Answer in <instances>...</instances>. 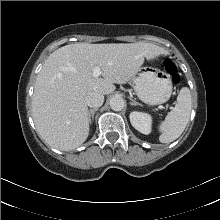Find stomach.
<instances>
[{
	"instance_id": "obj_1",
	"label": "stomach",
	"mask_w": 220,
	"mask_h": 220,
	"mask_svg": "<svg viewBox=\"0 0 220 220\" xmlns=\"http://www.w3.org/2000/svg\"><path fill=\"white\" fill-rule=\"evenodd\" d=\"M132 83L139 99L150 105L165 103L172 94L169 75L156 68H144L132 78Z\"/></svg>"
}]
</instances>
